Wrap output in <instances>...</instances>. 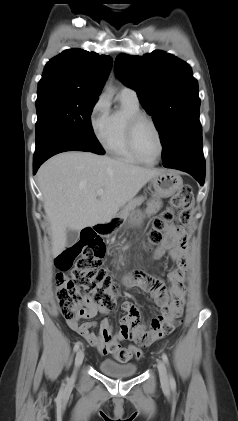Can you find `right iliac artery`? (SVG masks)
Returning a JSON list of instances; mask_svg holds the SVG:
<instances>
[{
    "instance_id": "82829eb1",
    "label": "right iliac artery",
    "mask_w": 238,
    "mask_h": 421,
    "mask_svg": "<svg viewBox=\"0 0 238 421\" xmlns=\"http://www.w3.org/2000/svg\"><path fill=\"white\" fill-rule=\"evenodd\" d=\"M80 344H81L80 342L75 343L74 348H73L74 352H76L79 349Z\"/></svg>"
}]
</instances>
